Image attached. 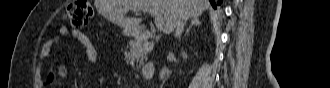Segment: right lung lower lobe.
Returning a JSON list of instances; mask_svg holds the SVG:
<instances>
[{
  "label": "right lung lower lobe",
  "mask_w": 330,
  "mask_h": 88,
  "mask_svg": "<svg viewBox=\"0 0 330 88\" xmlns=\"http://www.w3.org/2000/svg\"><path fill=\"white\" fill-rule=\"evenodd\" d=\"M214 8H216V4L220 5L223 0H209Z\"/></svg>",
  "instance_id": "1"
}]
</instances>
